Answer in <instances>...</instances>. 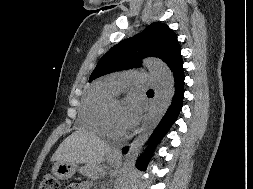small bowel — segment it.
Returning <instances> with one entry per match:
<instances>
[{"label": "small bowel", "mask_w": 253, "mask_h": 189, "mask_svg": "<svg viewBox=\"0 0 253 189\" xmlns=\"http://www.w3.org/2000/svg\"><path fill=\"white\" fill-rule=\"evenodd\" d=\"M69 189H89V185L87 183L74 184L71 185Z\"/></svg>", "instance_id": "obj_1"}]
</instances>
